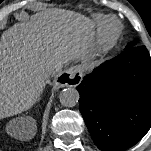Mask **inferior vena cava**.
Listing matches in <instances>:
<instances>
[{
	"instance_id": "inferior-vena-cava-1",
	"label": "inferior vena cava",
	"mask_w": 151,
	"mask_h": 151,
	"mask_svg": "<svg viewBox=\"0 0 151 151\" xmlns=\"http://www.w3.org/2000/svg\"><path fill=\"white\" fill-rule=\"evenodd\" d=\"M60 69H61V65H55V66L53 67L52 72H53V73L58 72Z\"/></svg>"
}]
</instances>
